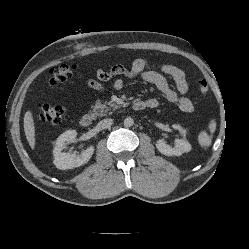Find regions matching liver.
Returning <instances> with one entry per match:
<instances>
[{
  "mask_svg": "<svg viewBox=\"0 0 249 249\" xmlns=\"http://www.w3.org/2000/svg\"><path fill=\"white\" fill-rule=\"evenodd\" d=\"M24 132L26 139L32 149L35 148V126L31 111H27L24 115Z\"/></svg>",
  "mask_w": 249,
  "mask_h": 249,
  "instance_id": "liver-1",
  "label": "liver"
}]
</instances>
